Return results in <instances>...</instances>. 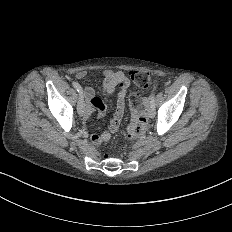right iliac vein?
Segmentation results:
<instances>
[{
	"label": "right iliac vein",
	"mask_w": 232,
	"mask_h": 232,
	"mask_svg": "<svg viewBox=\"0 0 232 232\" xmlns=\"http://www.w3.org/2000/svg\"><path fill=\"white\" fill-rule=\"evenodd\" d=\"M83 107H84L83 98H78V102L76 104V112L78 113V116L80 118H83L85 116V113L83 112Z\"/></svg>",
	"instance_id": "obj_1"
}]
</instances>
